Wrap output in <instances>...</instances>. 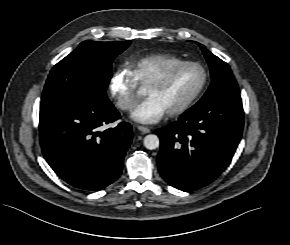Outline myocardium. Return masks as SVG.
<instances>
[{
  "mask_svg": "<svg viewBox=\"0 0 290 245\" xmlns=\"http://www.w3.org/2000/svg\"><path fill=\"white\" fill-rule=\"evenodd\" d=\"M185 67H198V68H200L202 73H203V80H202V83L199 86V88L195 91V93L185 103H183L178 108L167 112V114L169 116L181 115V114L185 113L186 111H188L197 102V100L200 98V96L205 91L207 84H208L209 75H208L207 69L201 63L194 62V61H183V62H180V63H177V64H174V65L167 67L166 69H164L163 71L158 73L153 79H151L146 84V87L161 86L169 79V77L171 76V74L173 72H175L181 68H185Z\"/></svg>",
  "mask_w": 290,
  "mask_h": 245,
  "instance_id": "f54148a6",
  "label": "myocardium"
}]
</instances>
